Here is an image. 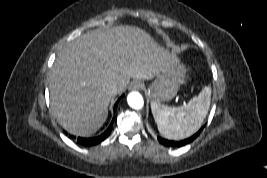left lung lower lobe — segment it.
I'll return each instance as SVG.
<instances>
[{
    "mask_svg": "<svg viewBox=\"0 0 267 178\" xmlns=\"http://www.w3.org/2000/svg\"><path fill=\"white\" fill-rule=\"evenodd\" d=\"M203 128H201L196 134H194L193 136H191L190 138L181 140V141H171V140H167V139H163L161 137H158V141L163 144L164 146H168V147H180V146H184L190 142H192L195 138H197L199 136V134L201 133Z\"/></svg>",
    "mask_w": 267,
    "mask_h": 178,
    "instance_id": "left-lung-lower-lobe-1",
    "label": "left lung lower lobe"
}]
</instances>
